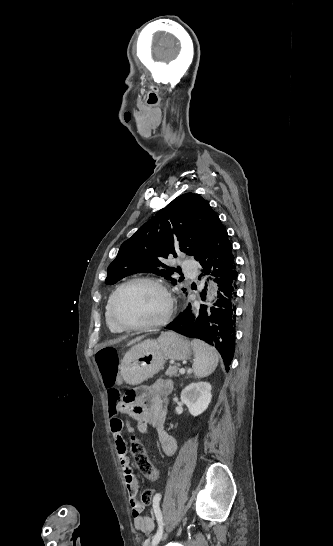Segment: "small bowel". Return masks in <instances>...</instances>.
<instances>
[{
  "label": "small bowel",
  "mask_w": 333,
  "mask_h": 546,
  "mask_svg": "<svg viewBox=\"0 0 333 546\" xmlns=\"http://www.w3.org/2000/svg\"><path fill=\"white\" fill-rule=\"evenodd\" d=\"M114 385L121 387L123 385L124 375L117 374ZM173 383L168 379H158L147 386L140 387L137 391V403L132 407H127L126 404H118L110 402V429L114 438L116 452L120 466L123 470L126 487L129 493L130 504L132 507L133 523L136 530L150 533L155 527V521L161 515L160 502L162 494L155 495L152 504L151 514L149 516L141 515L143 505L138 501L137 493L139 491L138 479L130 466V461L127 455V446L123 438V430L130 434H134L135 429L130 425L128 420H124L118 416L120 412H126L128 415L137 420V429L141 433H149L154 431L157 435L158 442L163 453L167 456H172L176 452L177 443L175 439L168 434L164 428L165 408L168 405L169 395L172 392ZM159 472L152 477L151 481L157 480Z\"/></svg>",
  "instance_id": "1"
}]
</instances>
